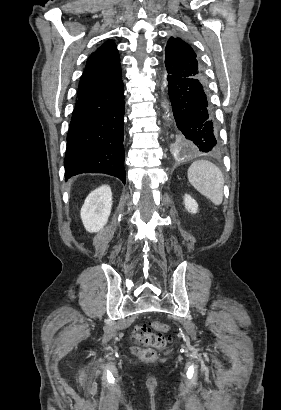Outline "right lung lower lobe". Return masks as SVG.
Instances as JSON below:
<instances>
[{
    "label": "right lung lower lobe",
    "mask_w": 281,
    "mask_h": 410,
    "mask_svg": "<svg viewBox=\"0 0 281 410\" xmlns=\"http://www.w3.org/2000/svg\"><path fill=\"white\" fill-rule=\"evenodd\" d=\"M122 80L104 91L78 98L67 135L65 178L105 173L126 181Z\"/></svg>",
    "instance_id": "right-lung-lower-lobe-1"
}]
</instances>
